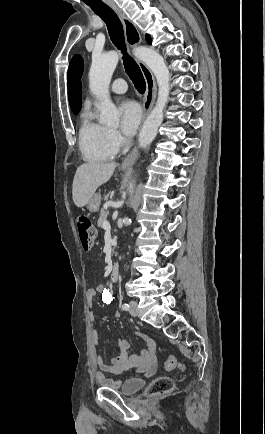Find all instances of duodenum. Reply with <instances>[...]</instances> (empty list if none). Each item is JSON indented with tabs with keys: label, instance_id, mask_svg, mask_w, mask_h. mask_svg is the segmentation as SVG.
I'll return each instance as SVG.
<instances>
[{
	"label": "duodenum",
	"instance_id": "obj_1",
	"mask_svg": "<svg viewBox=\"0 0 265 434\" xmlns=\"http://www.w3.org/2000/svg\"><path fill=\"white\" fill-rule=\"evenodd\" d=\"M120 267H121L120 262H114L110 266V272H109L108 280L111 283H114L119 279Z\"/></svg>",
	"mask_w": 265,
	"mask_h": 434
}]
</instances>
